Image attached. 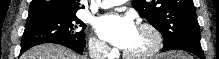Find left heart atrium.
<instances>
[{
    "mask_svg": "<svg viewBox=\"0 0 219 59\" xmlns=\"http://www.w3.org/2000/svg\"><path fill=\"white\" fill-rule=\"evenodd\" d=\"M98 35L110 44L125 49L135 36L137 27L129 16L108 13L94 22Z\"/></svg>",
    "mask_w": 219,
    "mask_h": 59,
    "instance_id": "39dd6f15",
    "label": "left heart atrium"
}]
</instances>
